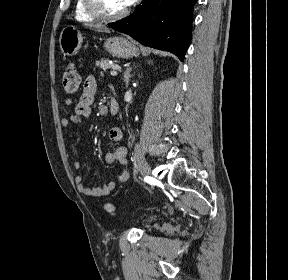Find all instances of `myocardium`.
Masks as SVG:
<instances>
[{"label": "myocardium", "mask_w": 288, "mask_h": 280, "mask_svg": "<svg viewBox=\"0 0 288 280\" xmlns=\"http://www.w3.org/2000/svg\"><path fill=\"white\" fill-rule=\"evenodd\" d=\"M85 8L90 15L94 18L104 21H114L125 17L128 13V9L125 8L123 11L116 14L106 13L99 0H84Z\"/></svg>", "instance_id": "myocardium-1"}]
</instances>
